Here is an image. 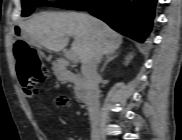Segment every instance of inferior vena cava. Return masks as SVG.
<instances>
[{
    "label": "inferior vena cava",
    "instance_id": "602c4592",
    "mask_svg": "<svg viewBox=\"0 0 182 140\" xmlns=\"http://www.w3.org/2000/svg\"><path fill=\"white\" fill-rule=\"evenodd\" d=\"M100 60L101 54L96 53L89 61L83 62L81 68L84 79L86 104L92 127L98 123L99 119V75L97 73V66Z\"/></svg>",
    "mask_w": 182,
    "mask_h": 140
}]
</instances>
